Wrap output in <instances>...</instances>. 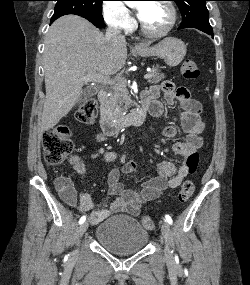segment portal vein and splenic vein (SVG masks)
<instances>
[{"label": "portal vein and splenic vein", "mask_w": 250, "mask_h": 285, "mask_svg": "<svg viewBox=\"0 0 250 285\" xmlns=\"http://www.w3.org/2000/svg\"><path fill=\"white\" fill-rule=\"evenodd\" d=\"M151 77V75L149 73L144 75V79H149ZM85 81H94V82H98V83H104V84H115V81H112L109 78L104 77L101 74H94L91 75L90 77H84Z\"/></svg>", "instance_id": "18ae733b"}]
</instances>
